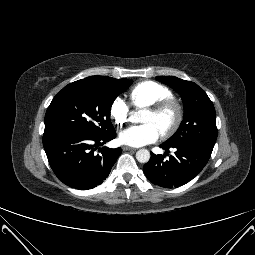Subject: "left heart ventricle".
I'll return each instance as SVG.
<instances>
[{
    "mask_svg": "<svg viewBox=\"0 0 255 255\" xmlns=\"http://www.w3.org/2000/svg\"><path fill=\"white\" fill-rule=\"evenodd\" d=\"M173 118L174 112L172 110H168L162 114H155L147 110L142 117V122L144 124H153L160 132H162L168 125L171 124Z\"/></svg>",
    "mask_w": 255,
    "mask_h": 255,
    "instance_id": "obj_1",
    "label": "left heart ventricle"
}]
</instances>
